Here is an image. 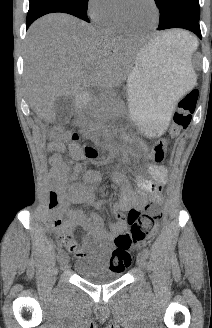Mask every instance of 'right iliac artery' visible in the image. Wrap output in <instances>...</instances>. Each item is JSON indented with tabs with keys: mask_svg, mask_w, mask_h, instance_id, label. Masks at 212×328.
<instances>
[{
	"mask_svg": "<svg viewBox=\"0 0 212 328\" xmlns=\"http://www.w3.org/2000/svg\"><path fill=\"white\" fill-rule=\"evenodd\" d=\"M64 255H63V251L62 250H59L58 251V255H57V259L58 261H61L63 259Z\"/></svg>",
	"mask_w": 212,
	"mask_h": 328,
	"instance_id": "right-iliac-artery-1",
	"label": "right iliac artery"
}]
</instances>
